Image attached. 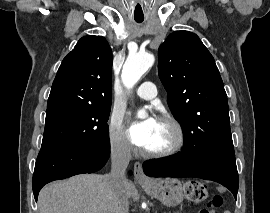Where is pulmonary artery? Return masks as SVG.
<instances>
[{"label":"pulmonary artery","mask_w":270,"mask_h":213,"mask_svg":"<svg viewBox=\"0 0 270 213\" xmlns=\"http://www.w3.org/2000/svg\"><path fill=\"white\" fill-rule=\"evenodd\" d=\"M156 92V85L151 81H145L137 89L136 94L141 99L151 100L156 96Z\"/></svg>","instance_id":"e3ab8cb5"}]
</instances>
